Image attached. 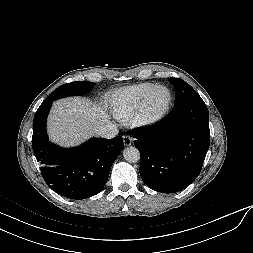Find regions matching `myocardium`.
<instances>
[{
	"mask_svg": "<svg viewBox=\"0 0 253 253\" xmlns=\"http://www.w3.org/2000/svg\"><path fill=\"white\" fill-rule=\"evenodd\" d=\"M161 88L168 92L167 102L158 111H152L150 109L151 98L155 91ZM172 103V91L165 85H155L145 95L136 115L133 118V121L137 126L141 127H151L157 125L168 115L172 107Z\"/></svg>",
	"mask_w": 253,
	"mask_h": 253,
	"instance_id": "1",
	"label": "myocardium"
}]
</instances>
